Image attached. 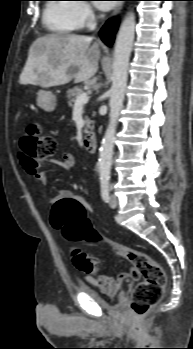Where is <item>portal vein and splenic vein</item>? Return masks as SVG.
Returning <instances> with one entry per match:
<instances>
[{
  "label": "portal vein and splenic vein",
  "mask_w": 193,
  "mask_h": 349,
  "mask_svg": "<svg viewBox=\"0 0 193 349\" xmlns=\"http://www.w3.org/2000/svg\"><path fill=\"white\" fill-rule=\"evenodd\" d=\"M88 95L87 93H82L80 95L77 96L76 101H75V105H79V104H85L88 102Z\"/></svg>",
  "instance_id": "obj_1"
}]
</instances>
